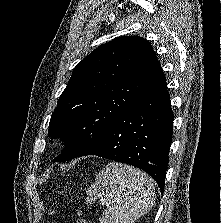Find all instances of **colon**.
Returning a JSON list of instances; mask_svg holds the SVG:
<instances>
[{
	"label": "colon",
	"instance_id": "obj_1",
	"mask_svg": "<svg viewBox=\"0 0 221 223\" xmlns=\"http://www.w3.org/2000/svg\"><path fill=\"white\" fill-rule=\"evenodd\" d=\"M76 223H88L87 220L84 218L82 212H79Z\"/></svg>",
	"mask_w": 221,
	"mask_h": 223
}]
</instances>
